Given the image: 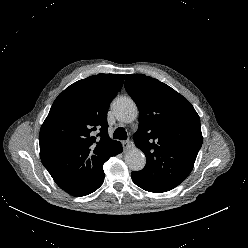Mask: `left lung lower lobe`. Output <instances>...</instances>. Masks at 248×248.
I'll use <instances>...</instances> for the list:
<instances>
[{
    "label": "left lung lower lobe",
    "instance_id": "left-lung-lower-lobe-1",
    "mask_svg": "<svg viewBox=\"0 0 248 248\" xmlns=\"http://www.w3.org/2000/svg\"><path fill=\"white\" fill-rule=\"evenodd\" d=\"M131 177L133 182L139 186L140 188L149 191V192H155V193H161V192H166L168 190H163V189H156L148 184V181L145 179V177L141 174L140 171L138 172H132Z\"/></svg>",
    "mask_w": 248,
    "mask_h": 248
}]
</instances>
